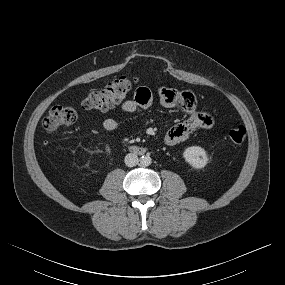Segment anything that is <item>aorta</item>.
I'll list each match as a JSON object with an SVG mask.
<instances>
[{"label": "aorta", "instance_id": "1", "mask_svg": "<svg viewBox=\"0 0 285 285\" xmlns=\"http://www.w3.org/2000/svg\"><path fill=\"white\" fill-rule=\"evenodd\" d=\"M152 162V159L149 155H144L140 158V164L142 166H149Z\"/></svg>", "mask_w": 285, "mask_h": 285}]
</instances>
